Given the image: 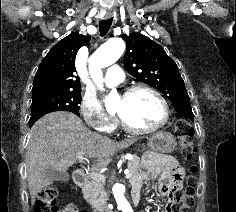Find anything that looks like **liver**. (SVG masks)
<instances>
[{
	"label": "liver",
	"mask_w": 236,
	"mask_h": 212,
	"mask_svg": "<svg viewBox=\"0 0 236 212\" xmlns=\"http://www.w3.org/2000/svg\"><path fill=\"white\" fill-rule=\"evenodd\" d=\"M135 139L115 142L87 129L82 120L71 112H52L32 127L27 146V181L31 203L38 193L49 186L45 172L53 168L66 172L75 164L77 154L95 159L93 168L100 170L116 152L132 145Z\"/></svg>",
	"instance_id": "1"
}]
</instances>
